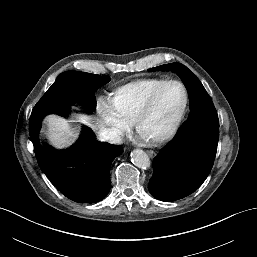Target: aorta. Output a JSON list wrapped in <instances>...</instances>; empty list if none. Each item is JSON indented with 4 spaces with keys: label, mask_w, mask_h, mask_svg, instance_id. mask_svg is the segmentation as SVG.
<instances>
[{
    "label": "aorta",
    "mask_w": 257,
    "mask_h": 257,
    "mask_svg": "<svg viewBox=\"0 0 257 257\" xmlns=\"http://www.w3.org/2000/svg\"><path fill=\"white\" fill-rule=\"evenodd\" d=\"M130 156L132 163L138 167L146 166L148 164V155L141 149H134Z\"/></svg>",
    "instance_id": "1"
}]
</instances>
